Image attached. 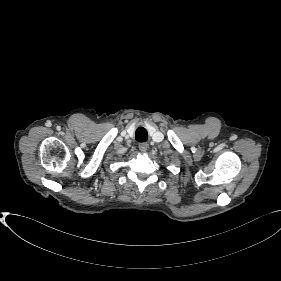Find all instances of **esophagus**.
<instances>
[{
	"label": "esophagus",
	"instance_id": "obj_1",
	"mask_svg": "<svg viewBox=\"0 0 281 281\" xmlns=\"http://www.w3.org/2000/svg\"><path fill=\"white\" fill-rule=\"evenodd\" d=\"M148 143H146V142H143V143H140L139 144V150L141 151V152H143V153H145L146 151H147V149H148Z\"/></svg>",
	"mask_w": 281,
	"mask_h": 281
}]
</instances>
